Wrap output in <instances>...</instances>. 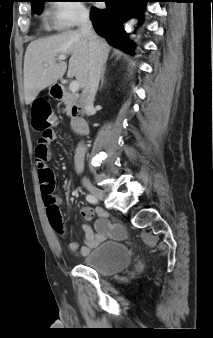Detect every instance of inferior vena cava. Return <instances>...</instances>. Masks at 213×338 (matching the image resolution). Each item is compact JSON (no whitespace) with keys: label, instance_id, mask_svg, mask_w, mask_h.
<instances>
[{"label":"inferior vena cava","instance_id":"1","mask_svg":"<svg viewBox=\"0 0 213 338\" xmlns=\"http://www.w3.org/2000/svg\"><path fill=\"white\" fill-rule=\"evenodd\" d=\"M79 30L88 40L90 51L89 77L81 93L83 111L87 112L93 106L107 54L103 51L101 41L92 29V23L89 19L88 12H83L81 14Z\"/></svg>","mask_w":213,"mask_h":338}]
</instances>
